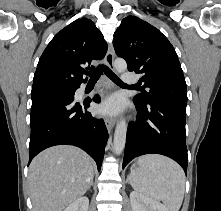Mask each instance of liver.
Returning <instances> with one entry per match:
<instances>
[{
    "label": "liver",
    "instance_id": "obj_1",
    "mask_svg": "<svg viewBox=\"0 0 221 211\" xmlns=\"http://www.w3.org/2000/svg\"><path fill=\"white\" fill-rule=\"evenodd\" d=\"M91 157L74 146L60 145L38 154L29 167L33 211H63L89 189Z\"/></svg>",
    "mask_w": 221,
    "mask_h": 211
}]
</instances>
